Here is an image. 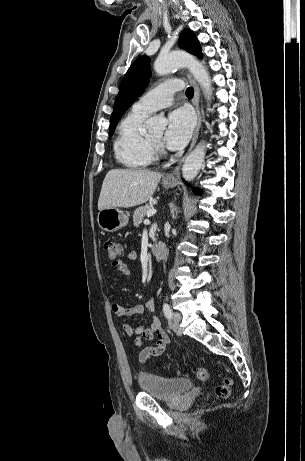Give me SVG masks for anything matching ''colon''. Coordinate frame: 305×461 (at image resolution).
I'll use <instances>...</instances> for the list:
<instances>
[{"label":"colon","mask_w":305,"mask_h":461,"mask_svg":"<svg viewBox=\"0 0 305 461\" xmlns=\"http://www.w3.org/2000/svg\"><path fill=\"white\" fill-rule=\"evenodd\" d=\"M104 250L112 263L118 262L124 254L123 244L113 239H108L104 242ZM197 376L202 380H206L208 378V372L205 368L200 367L197 369ZM231 384L232 380L229 377H224L222 382L216 386L215 394L220 398L228 397Z\"/></svg>","instance_id":"colon-1"}]
</instances>
